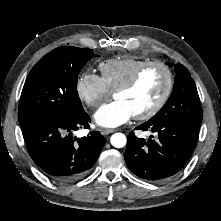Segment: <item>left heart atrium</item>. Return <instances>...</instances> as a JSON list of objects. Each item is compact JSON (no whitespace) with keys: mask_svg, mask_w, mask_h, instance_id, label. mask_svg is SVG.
Instances as JSON below:
<instances>
[{"mask_svg":"<svg viewBox=\"0 0 221 221\" xmlns=\"http://www.w3.org/2000/svg\"><path fill=\"white\" fill-rule=\"evenodd\" d=\"M134 116L131 108L120 99H115L101 106L95 113L97 125L105 128L117 127Z\"/></svg>","mask_w":221,"mask_h":221,"instance_id":"1","label":"left heart atrium"}]
</instances>
